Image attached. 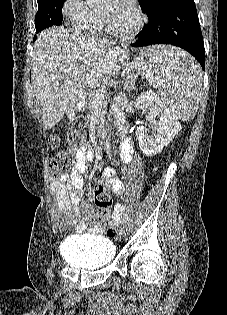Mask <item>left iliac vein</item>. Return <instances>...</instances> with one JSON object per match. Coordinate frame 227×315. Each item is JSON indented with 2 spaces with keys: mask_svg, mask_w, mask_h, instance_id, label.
I'll use <instances>...</instances> for the list:
<instances>
[{
  "mask_svg": "<svg viewBox=\"0 0 227 315\" xmlns=\"http://www.w3.org/2000/svg\"><path fill=\"white\" fill-rule=\"evenodd\" d=\"M126 235V229L123 227L121 230H120V237H124Z\"/></svg>",
  "mask_w": 227,
  "mask_h": 315,
  "instance_id": "4c4485c4",
  "label": "left iliac vein"
}]
</instances>
